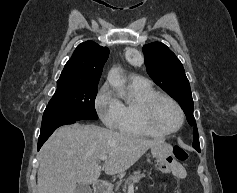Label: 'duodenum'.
Instances as JSON below:
<instances>
[{
	"label": "duodenum",
	"instance_id": "1",
	"mask_svg": "<svg viewBox=\"0 0 237 193\" xmlns=\"http://www.w3.org/2000/svg\"><path fill=\"white\" fill-rule=\"evenodd\" d=\"M108 186L105 181L99 180L94 183V193H107Z\"/></svg>",
	"mask_w": 237,
	"mask_h": 193
}]
</instances>
